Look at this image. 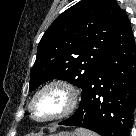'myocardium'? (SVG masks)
Here are the masks:
<instances>
[{
	"label": "myocardium",
	"mask_w": 136,
	"mask_h": 136,
	"mask_svg": "<svg viewBox=\"0 0 136 136\" xmlns=\"http://www.w3.org/2000/svg\"><path fill=\"white\" fill-rule=\"evenodd\" d=\"M51 89L61 90L66 96V104H65L64 108L59 113L52 115L50 117H46V118H38V117H36V115L34 114V111H33L34 103H35L36 99L41 94H43L46 91H49ZM78 102H79V95H78L77 89L71 83H69L65 80L55 79V80H51V81L47 82L46 84H44L42 87H40L34 93V95L32 96V98L30 100L28 109H29L31 117L35 121H37V122H52V121L61 120L63 118H66L70 114H72L75 111V109L77 108Z\"/></svg>",
	"instance_id": "1"
}]
</instances>
